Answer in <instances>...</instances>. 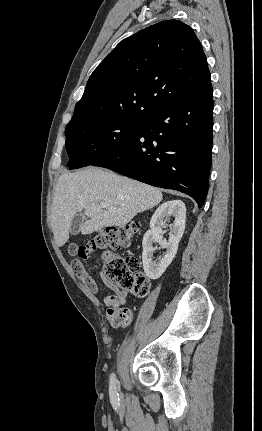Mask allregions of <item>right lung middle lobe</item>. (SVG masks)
I'll use <instances>...</instances> for the list:
<instances>
[{"label": "right lung middle lobe", "instance_id": "right-lung-middle-lobe-1", "mask_svg": "<svg viewBox=\"0 0 262 431\" xmlns=\"http://www.w3.org/2000/svg\"><path fill=\"white\" fill-rule=\"evenodd\" d=\"M143 119L111 118L90 120L66 127V150L69 169H77L103 159L128 141Z\"/></svg>", "mask_w": 262, "mask_h": 431}]
</instances>
